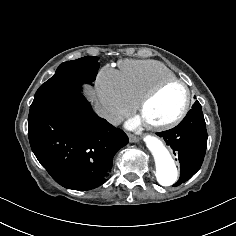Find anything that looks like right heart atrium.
<instances>
[{
    "label": "right heart atrium",
    "instance_id": "d8ad5b80",
    "mask_svg": "<svg viewBox=\"0 0 236 236\" xmlns=\"http://www.w3.org/2000/svg\"><path fill=\"white\" fill-rule=\"evenodd\" d=\"M95 93L99 115L107 123L116 124L135 107L122 74L110 66H103L95 79Z\"/></svg>",
    "mask_w": 236,
    "mask_h": 236
}]
</instances>
